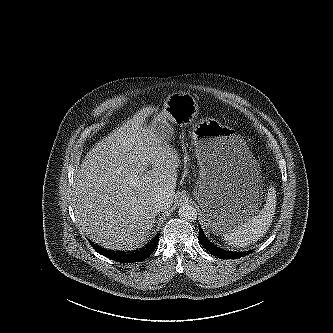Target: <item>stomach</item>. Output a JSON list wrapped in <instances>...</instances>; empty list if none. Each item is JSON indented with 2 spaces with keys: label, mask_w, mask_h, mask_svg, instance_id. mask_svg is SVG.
I'll use <instances>...</instances> for the list:
<instances>
[{
  "label": "stomach",
  "mask_w": 333,
  "mask_h": 333,
  "mask_svg": "<svg viewBox=\"0 0 333 333\" xmlns=\"http://www.w3.org/2000/svg\"><path fill=\"white\" fill-rule=\"evenodd\" d=\"M198 103L189 93L170 94L149 128L168 142L174 135L169 122L191 121ZM192 143L200 166L195 198L201 205L199 222L205 232L224 236L255 215L266 196L258 164L241 136L214 119H203L192 129Z\"/></svg>",
  "instance_id": "obj_1"
}]
</instances>
